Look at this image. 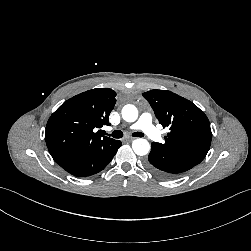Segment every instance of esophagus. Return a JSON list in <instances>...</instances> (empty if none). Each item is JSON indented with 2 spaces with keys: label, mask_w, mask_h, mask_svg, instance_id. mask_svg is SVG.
Instances as JSON below:
<instances>
[{
  "label": "esophagus",
  "mask_w": 251,
  "mask_h": 251,
  "mask_svg": "<svg viewBox=\"0 0 251 251\" xmlns=\"http://www.w3.org/2000/svg\"><path fill=\"white\" fill-rule=\"evenodd\" d=\"M134 139H135V138H133V137H127V138H126L127 141H133Z\"/></svg>",
  "instance_id": "34e87169"
}]
</instances>
